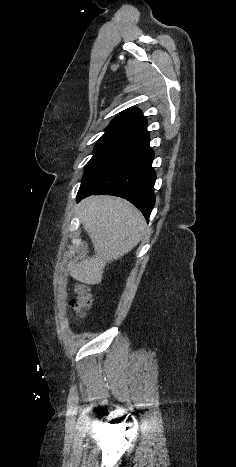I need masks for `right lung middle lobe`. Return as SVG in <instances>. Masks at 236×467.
Segmentation results:
<instances>
[{
	"label": "right lung middle lobe",
	"instance_id": "dd1d6c3e",
	"mask_svg": "<svg viewBox=\"0 0 236 467\" xmlns=\"http://www.w3.org/2000/svg\"><path fill=\"white\" fill-rule=\"evenodd\" d=\"M139 136L133 131L107 128L104 135L97 141L94 155L85 166L83 178L114 152Z\"/></svg>",
	"mask_w": 236,
	"mask_h": 467
}]
</instances>
